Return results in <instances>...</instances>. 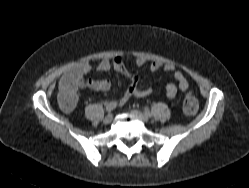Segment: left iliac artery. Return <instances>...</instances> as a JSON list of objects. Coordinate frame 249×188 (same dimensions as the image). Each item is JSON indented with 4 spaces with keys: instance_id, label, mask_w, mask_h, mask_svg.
Here are the masks:
<instances>
[{
    "instance_id": "obj_1",
    "label": "left iliac artery",
    "mask_w": 249,
    "mask_h": 188,
    "mask_svg": "<svg viewBox=\"0 0 249 188\" xmlns=\"http://www.w3.org/2000/svg\"><path fill=\"white\" fill-rule=\"evenodd\" d=\"M144 113H145V115H147L148 117L151 116V113H150V111H149L148 109H146V110L144 111Z\"/></svg>"
}]
</instances>
